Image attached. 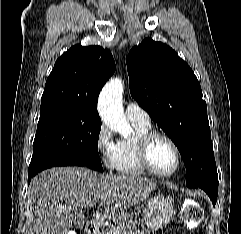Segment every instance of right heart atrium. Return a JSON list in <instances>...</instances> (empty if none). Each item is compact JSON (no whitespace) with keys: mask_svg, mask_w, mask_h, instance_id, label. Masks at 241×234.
<instances>
[{"mask_svg":"<svg viewBox=\"0 0 241 234\" xmlns=\"http://www.w3.org/2000/svg\"><path fill=\"white\" fill-rule=\"evenodd\" d=\"M116 143L111 129L102 123L97 130L95 144L103 165L108 169L113 168V156Z\"/></svg>","mask_w":241,"mask_h":234,"instance_id":"d8ad5b80","label":"right heart atrium"}]
</instances>
